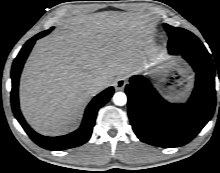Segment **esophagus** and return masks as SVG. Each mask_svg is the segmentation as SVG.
Instances as JSON below:
<instances>
[{"label":"esophagus","instance_id":"obj_1","mask_svg":"<svg viewBox=\"0 0 220 173\" xmlns=\"http://www.w3.org/2000/svg\"><path fill=\"white\" fill-rule=\"evenodd\" d=\"M127 80L125 78H118L115 82V89L121 91L125 88Z\"/></svg>","mask_w":220,"mask_h":173}]
</instances>
